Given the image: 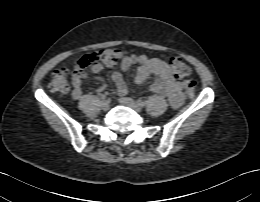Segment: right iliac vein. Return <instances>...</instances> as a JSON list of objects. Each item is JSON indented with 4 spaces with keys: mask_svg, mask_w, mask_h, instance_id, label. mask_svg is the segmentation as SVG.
Returning <instances> with one entry per match:
<instances>
[{
    "mask_svg": "<svg viewBox=\"0 0 260 202\" xmlns=\"http://www.w3.org/2000/svg\"><path fill=\"white\" fill-rule=\"evenodd\" d=\"M101 107H102V109H104V110L108 109V108H109V102H108L107 100H103V101L101 102Z\"/></svg>",
    "mask_w": 260,
    "mask_h": 202,
    "instance_id": "obj_1",
    "label": "right iliac vein"
}]
</instances>
